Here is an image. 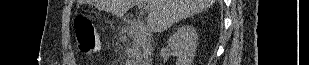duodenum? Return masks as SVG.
Returning a JSON list of instances; mask_svg holds the SVG:
<instances>
[{"mask_svg":"<svg viewBox=\"0 0 309 65\" xmlns=\"http://www.w3.org/2000/svg\"><path fill=\"white\" fill-rule=\"evenodd\" d=\"M126 32L128 35L138 41L144 50H149L150 48V37L148 29L137 21H128L126 26ZM141 65H151L150 61L146 60L141 63Z\"/></svg>","mask_w":309,"mask_h":65,"instance_id":"duodenum-1","label":"duodenum"}]
</instances>
